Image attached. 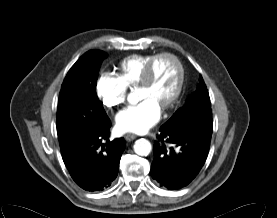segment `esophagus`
I'll return each instance as SVG.
<instances>
[{"label": "esophagus", "mask_w": 277, "mask_h": 218, "mask_svg": "<svg viewBox=\"0 0 277 218\" xmlns=\"http://www.w3.org/2000/svg\"><path fill=\"white\" fill-rule=\"evenodd\" d=\"M124 138H125L126 141H132L136 138V135L128 133L124 136Z\"/></svg>", "instance_id": "1"}]
</instances>
